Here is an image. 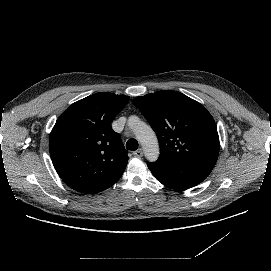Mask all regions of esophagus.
Here are the masks:
<instances>
[{
	"instance_id": "34e87169",
	"label": "esophagus",
	"mask_w": 271,
	"mask_h": 271,
	"mask_svg": "<svg viewBox=\"0 0 271 271\" xmlns=\"http://www.w3.org/2000/svg\"><path fill=\"white\" fill-rule=\"evenodd\" d=\"M133 155L136 158H141L143 156V149L139 148L138 150H136V151L133 152Z\"/></svg>"
}]
</instances>
